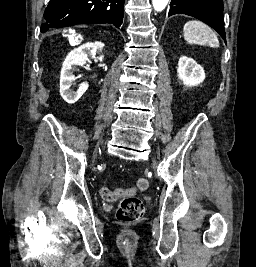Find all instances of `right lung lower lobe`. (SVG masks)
<instances>
[{
	"mask_svg": "<svg viewBox=\"0 0 256 267\" xmlns=\"http://www.w3.org/2000/svg\"><path fill=\"white\" fill-rule=\"evenodd\" d=\"M123 7L124 0H50L41 32L76 24L110 23L119 27Z\"/></svg>",
	"mask_w": 256,
	"mask_h": 267,
	"instance_id": "obj_1",
	"label": "right lung lower lobe"
}]
</instances>
